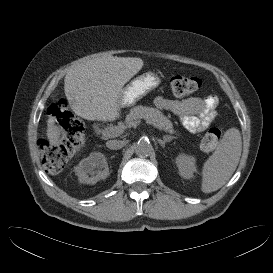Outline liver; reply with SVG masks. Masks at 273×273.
I'll return each instance as SVG.
<instances>
[{"instance_id": "liver-1", "label": "liver", "mask_w": 273, "mask_h": 273, "mask_svg": "<svg viewBox=\"0 0 273 273\" xmlns=\"http://www.w3.org/2000/svg\"><path fill=\"white\" fill-rule=\"evenodd\" d=\"M143 67L137 57L103 56L73 66L64 78V91L71 109L87 120L114 121L120 116L123 86ZM63 129L53 117L47 121V138L58 146Z\"/></svg>"}]
</instances>
